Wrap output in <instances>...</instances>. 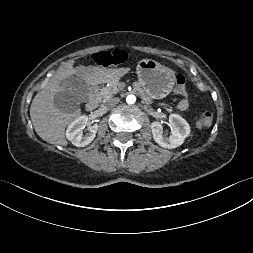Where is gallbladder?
<instances>
[{
    "label": "gallbladder",
    "mask_w": 253,
    "mask_h": 253,
    "mask_svg": "<svg viewBox=\"0 0 253 253\" xmlns=\"http://www.w3.org/2000/svg\"><path fill=\"white\" fill-rule=\"evenodd\" d=\"M63 90L54 96V105L62 112L73 113L81 102L87 101V84L78 77L62 81Z\"/></svg>",
    "instance_id": "1"
}]
</instances>
